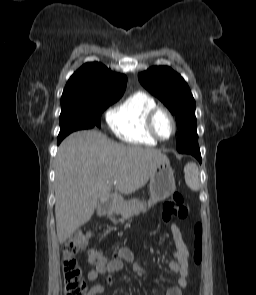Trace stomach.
<instances>
[{"instance_id": "stomach-1", "label": "stomach", "mask_w": 256, "mask_h": 295, "mask_svg": "<svg viewBox=\"0 0 256 295\" xmlns=\"http://www.w3.org/2000/svg\"><path fill=\"white\" fill-rule=\"evenodd\" d=\"M149 190L150 199L147 204L132 200L128 203L120 204L115 209V213L125 216L127 208L130 207H139L142 211L145 210L146 207L150 208L158 202L163 201L171 196L176 190V185L174 179V170L171 167L169 160L162 161L157 165L155 172L150 178ZM137 213L135 212L133 214Z\"/></svg>"}]
</instances>
